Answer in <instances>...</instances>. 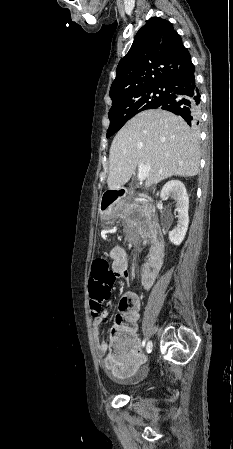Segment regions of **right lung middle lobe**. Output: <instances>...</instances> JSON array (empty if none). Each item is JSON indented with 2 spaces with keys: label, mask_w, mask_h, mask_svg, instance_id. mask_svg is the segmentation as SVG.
Segmentation results:
<instances>
[{
  "label": "right lung middle lobe",
  "mask_w": 233,
  "mask_h": 449,
  "mask_svg": "<svg viewBox=\"0 0 233 449\" xmlns=\"http://www.w3.org/2000/svg\"><path fill=\"white\" fill-rule=\"evenodd\" d=\"M168 93L167 84H155L112 99L113 103L109 111L110 127L107 132V138L117 132L137 113L146 109L156 108L166 98Z\"/></svg>",
  "instance_id": "1"
}]
</instances>
